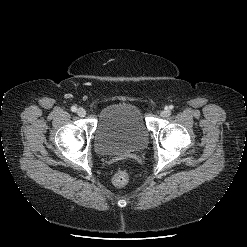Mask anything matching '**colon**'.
I'll return each mask as SVG.
<instances>
[{"instance_id": "1", "label": "colon", "mask_w": 247, "mask_h": 247, "mask_svg": "<svg viewBox=\"0 0 247 247\" xmlns=\"http://www.w3.org/2000/svg\"><path fill=\"white\" fill-rule=\"evenodd\" d=\"M112 180L115 186L123 187L129 181V174L125 169H119L114 173Z\"/></svg>"}]
</instances>
